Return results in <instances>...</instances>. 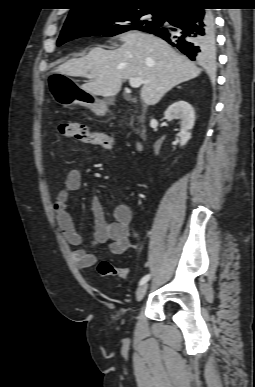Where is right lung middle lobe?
I'll list each match as a JSON object with an SVG mask.
<instances>
[{
  "label": "right lung middle lobe",
  "mask_w": 255,
  "mask_h": 387,
  "mask_svg": "<svg viewBox=\"0 0 255 387\" xmlns=\"http://www.w3.org/2000/svg\"><path fill=\"white\" fill-rule=\"evenodd\" d=\"M162 8L121 6L112 9L98 10L80 19L65 23L57 45L81 36L101 35L110 37L128 30H142L160 26L165 20ZM152 14V20L145 16Z\"/></svg>",
  "instance_id": "right-lung-middle-lobe-1"
}]
</instances>
